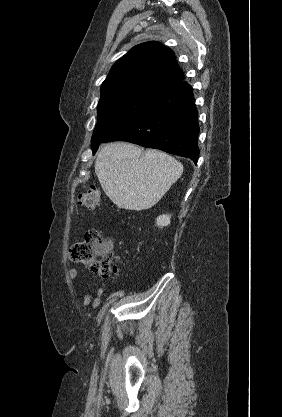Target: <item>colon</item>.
I'll list each match as a JSON object with an SVG mask.
<instances>
[{
	"label": "colon",
	"instance_id": "5ec220e1",
	"mask_svg": "<svg viewBox=\"0 0 282 417\" xmlns=\"http://www.w3.org/2000/svg\"><path fill=\"white\" fill-rule=\"evenodd\" d=\"M100 192L96 187L85 191L80 200L88 209H95L100 204ZM73 262L93 270L101 276L109 277L117 272L111 259V248L97 229L87 231L85 239L72 246Z\"/></svg>",
	"mask_w": 282,
	"mask_h": 417
}]
</instances>
